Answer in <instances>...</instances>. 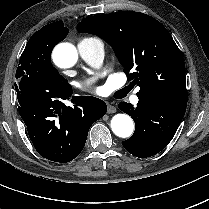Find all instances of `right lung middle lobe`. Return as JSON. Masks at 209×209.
Wrapping results in <instances>:
<instances>
[{
    "mask_svg": "<svg viewBox=\"0 0 209 209\" xmlns=\"http://www.w3.org/2000/svg\"><path fill=\"white\" fill-rule=\"evenodd\" d=\"M55 45L52 31L42 29L34 33L20 57L16 78L19 81L31 78L60 87L69 86L68 81L51 64V52Z\"/></svg>",
    "mask_w": 209,
    "mask_h": 209,
    "instance_id": "right-lung-middle-lobe-1",
    "label": "right lung middle lobe"
}]
</instances>
